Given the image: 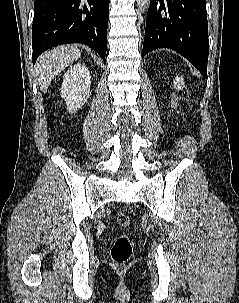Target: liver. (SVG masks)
<instances>
[{"label":"liver","instance_id":"liver-1","mask_svg":"<svg viewBox=\"0 0 239 303\" xmlns=\"http://www.w3.org/2000/svg\"><path fill=\"white\" fill-rule=\"evenodd\" d=\"M80 56L81 52L76 45L58 46L43 53L35 66L40 90L45 93L52 79Z\"/></svg>","mask_w":239,"mask_h":303}]
</instances>
